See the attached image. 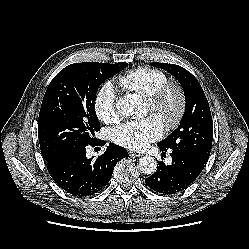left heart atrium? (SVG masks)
Masks as SVG:
<instances>
[{"mask_svg": "<svg viewBox=\"0 0 249 249\" xmlns=\"http://www.w3.org/2000/svg\"><path fill=\"white\" fill-rule=\"evenodd\" d=\"M164 131V124L157 115L134 119L116 128L113 141L131 150H143L150 143L159 139Z\"/></svg>", "mask_w": 249, "mask_h": 249, "instance_id": "obj_1", "label": "left heart atrium"}]
</instances>
